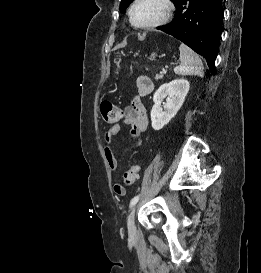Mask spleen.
<instances>
[{"label":"spleen","instance_id":"3e777b00","mask_svg":"<svg viewBox=\"0 0 261 273\" xmlns=\"http://www.w3.org/2000/svg\"><path fill=\"white\" fill-rule=\"evenodd\" d=\"M180 51V65L174 68L177 75H197L204 76V67L199 56L190 49L187 45L181 43L179 46Z\"/></svg>","mask_w":261,"mask_h":273}]
</instances>
